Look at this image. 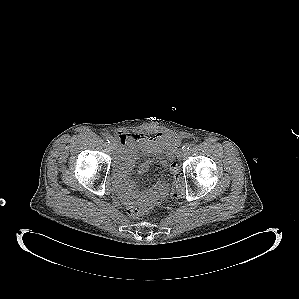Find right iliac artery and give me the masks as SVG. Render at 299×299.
<instances>
[{
	"label": "right iliac artery",
	"mask_w": 299,
	"mask_h": 299,
	"mask_svg": "<svg viewBox=\"0 0 299 299\" xmlns=\"http://www.w3.org/2000/svg\"><path fill=\"white\" fill-rule=\"evenodd\" d=\"M105 138L108 141V143H112L114 140V138L111 135H107Z\"/></svg>",
	"instance_id": "right-iliac-artery-1"
}]
</instances>
